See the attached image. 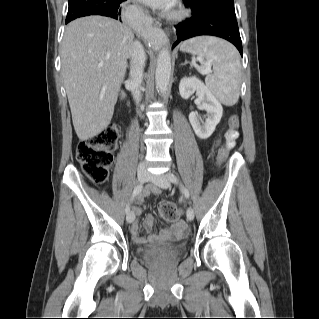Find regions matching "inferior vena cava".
<instances>
[{"instance_id":"1","label":"inferior vena cava","mask_w":319,"mask_h":319,"mask_svg":"<svg viewBox=\"0 0 319 319\" xmlns=\"http://www.w3.org/2000/svg\"><path fill=\"white\" fill-rule=\"evenodd\" d=\"M131 58L130 66V83H131V93L137 104L140 102L141 93L139 86L143 80V71L146 62V54L143 46L138 41H134L131 46V51L129 54ZM140 169H144V163L139 164Z\"/></svg>"}]
</instances>
